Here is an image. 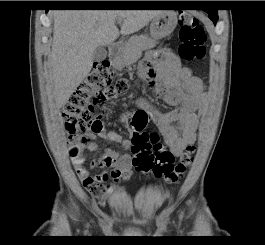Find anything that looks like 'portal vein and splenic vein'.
Masks as SVG:
<instances>
[{
    "mask_svg": "<svg viewBox=\"0 0 265 245\" xmlns=\"http://www.w3.org/2000/svg\"><path fill=\"white\" fill-rule=\"evenodd\" d=\"M117 23H118V24H121V23H122V20H120V19L117 20Z\"/></svg>",
    "mask_w": 265,
    "mask_h": 245,
    "instance_id": "18ae733b",
    "label": "portal vein and splenic vein"
}]
</instances>
